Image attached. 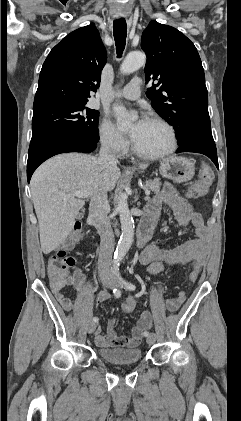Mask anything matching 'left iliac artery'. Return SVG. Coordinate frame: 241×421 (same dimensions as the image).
Returning a JSON list of instances; mask_svg holds the SVG:
<instances>
[{
  "instance_id": "1",
  "label": "left iliac artery",
  "mask_w": 241,
  "mask_h": 421,
  "mask_svg": "<svg viewBox=\"0 0 241 421\" xmlns=\"http://www.w3.org/2000/svg\"><path fill=\"white\" fill-rule=\"evenodd\" d=\"M116 275H117V277L119 278V280L121 281V283L125 286V288L127 289V290H131V291H133V290H135V285L134 284H132V283H130V282H128V281H126V280H124L122 277H121V275H120V272L117 270L116 271ZM144 335L145 336H148L149 335V332H145L144 333Z\"/></svg>"
}]
</instances>
